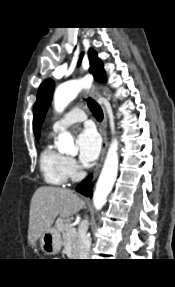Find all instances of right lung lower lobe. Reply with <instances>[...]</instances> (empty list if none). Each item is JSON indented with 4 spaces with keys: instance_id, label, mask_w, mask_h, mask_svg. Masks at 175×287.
Here are the masks:
<instances>
[{
    "instance_id": "right-lung-lower-lobe-1",
    "label": "right lung lower lobe",
    "mask_w": 175,
    "mask_h": 287,
    "mask_svg": "<svg viewBox=\"0 0 175 287\" xmlns=\"http://www.w3.org/2000/svg\"><path fill=\"white\" fill-rule=\"evenodd\" d=\"M92 175L88 176L81 184L76 187V191L81 193L84 196L92 197V187L93 183L91 182Z\"/></svg>"
}]
</instances>
